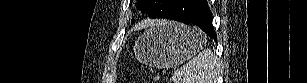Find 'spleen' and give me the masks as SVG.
<instances>
[{"label": "spleen", "mask_w": 307, "mask_h": 83, "mask_svg": "<svg viewBox=\"0 0 307 83\" xmlns=\"http://www.w3.org/2000/svg\"><path fill=\"white\" fill-rule=\"evenodd\" d=\"M218 75V58L210 49H204L177 69L170 81L174 83H216Z\"/></svg>", "instance_id": "3e777b00"}]
</instances>
